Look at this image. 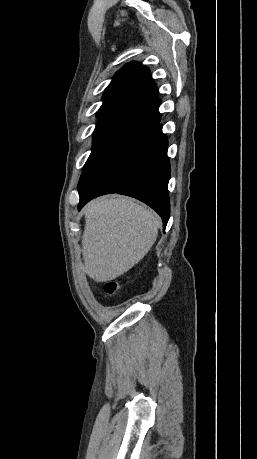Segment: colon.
I'll return each mask as SVG.
<instances>
[{"instance_id":"colon-1","label":"colon","mask_w":257,"mask_h":459,"mask_svg":"<svg viewBox=\"0 0 257 459\" xmlns=\"http://www.w3.org/2000/svg\"><path fill=\"white\" fill-rule=\"evenodd\" d=\"M118 289L119 285L115 281H108L104 285V291L108 296H112L113 294H115L118 291Z\"/></svg>"}]
</instances>
